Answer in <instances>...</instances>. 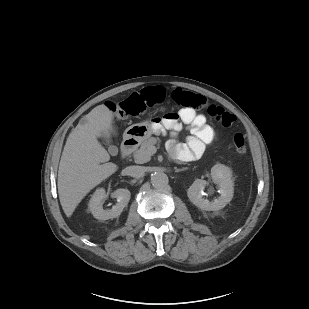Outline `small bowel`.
Here are the masks:
<instances>
[{"mask_svg": "<svg viewBox=\"0 0 309 309\" xmlns=\"http://www.w3.org/2000/svg\"><path fill=\"white\" fill-rule=\"evenodd\" d=\"M182 124L189 128L191 135L183 145L175 139L169 140L168 150L175 158L198 157L203 153L205 146L213 140L214 129L207 124L202 114H197L190 108L181 109L178 113L167 114L162 120V125L173 132L179 131Z\"/></svg>", "mask_w": 309, "mask_h": 309, "instance_id": "c3829d8e", "label": "small bowel"}]
</instances>
